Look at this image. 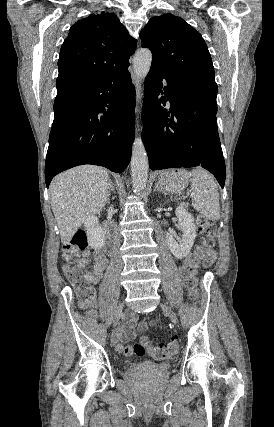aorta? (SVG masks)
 Segmentation results:
<instances>
[{"instance_id": "obj_1", "label": "aorta", "mask_w": 274, "mask_h": 427, "mask_svg": "<svg viewBox=\"0 0 274 427\" xmlns=\"http://www.w3.org/2000/svg\"><path fill=\"white\" fill-rule=\"evenodd\" d=\"M152 62V53L149 49L142 48L135 53L133 68L139 81L146 78ZM148 157L141 137L135 139L132 147L131 176L134 192H141L146 186L148 178Z\"/></svg>"}]
</instances>
